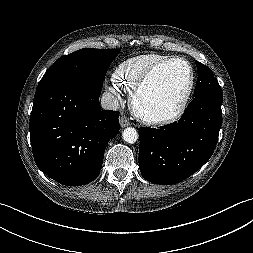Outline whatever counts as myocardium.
<instances>
[{"label": "myocardium", "instance_id": "1", "mask_svg": "<svg viewBox=\"0 0 253 253\" xmlns=\"http://www.w3.org/2000/svg\"><path fill=\"white\" fill-rule=\"evenodd\" d=\"M172 62L184 63L188 67L189 72H190L189 85L180 101V104L172 113L168 115L160 116V115H152V114H148L144 112L139 106V98H140L141 93L147 86L148 82L150 81L154 73L160 68ZM194 86H195V70L189 60H187L184 57L176 56V57H170L165 60L159 61L153 64L152 66H150L144 72V74L141 76L138 83L136 84L134 90L132 91L131 96H130V105H131L132 112L139 120L149 125H166V124L173 123L177 121L178 119H180L182 115L184 114V112L186 111L189 100L194 90Z\"/></svg>", "mask_w": 253, "mask_h": 253}]
</instances>
